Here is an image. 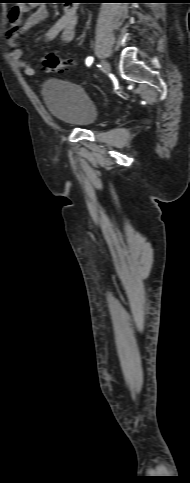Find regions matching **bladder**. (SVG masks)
Returning <instances> with one entry per match:
<instances>
[{"mask_svg": "<svg viewBox=\"0 0 190 483\" xmlns=\"http://www.w3.org/2000/svg\"><path fill=\"white\" fill-rule=\"evenodd\" d=\"M41 93L47 109L56 120L81 128L95 124L98 117L96 107L80 86L61 79H50Z\"/></svg>", "mask_w": 190, "mask_h": 483, "instance_id": "31cf9c89", "label": "bladder"}]
</instances>
